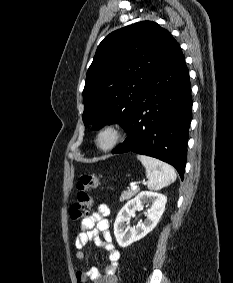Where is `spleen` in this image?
<instances>
[{"instance_id": "spleen-1", "label": "spleen", "mask_w": 233, "mask_h": 283, "mask_svg": "<svg viewBox=\"0 0 233 283\" xmlns=\"http://www.w3.org/2000/svg\"><path fill=\"white\" fill-rule=\"evenodd\" d=\"M137 159L146 169L148 189L160 190L176 180V172L169 164L145 155H137Z\"/></svg>"}]
</instances>
